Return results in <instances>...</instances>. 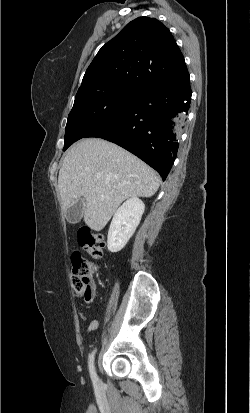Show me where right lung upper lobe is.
Instances as JSON below:
<instances>
[{
	"mask_svg": "<svg viewBox=\"0 0 250 413\" xmlns=\"http://www.w3.org/2000/svg\"><path fill=\"white\" fill-rule=\"evenodd\" d=\"M188 79L184 57L169 29L155 18L139 17L99 50L79 90L124 85L143 91Z\"/></svg>",
	"mask_w": 250,
	"mask_h": 413,
	"instance_id": "obj_1",
	"label": "right lung upper lobe"
}]
</instances>
